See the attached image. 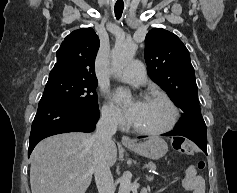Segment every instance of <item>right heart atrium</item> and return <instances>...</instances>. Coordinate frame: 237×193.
I'll list each match as a JSON object with an SVG mask.
<instances>
[{
	"label": "right heart atrium",
	"mask_w": 237,
	"mask_h": 193,
	"mask_svg": "<svg viewBox=\"0 0 237 193\" xmlns=\"http://www.w3.org/2000/svg\"><path fill=\"white\" fill-rule=\"evenodd\" d=\"M101 116L105 123L113 127H120L124 119L120 111L110 102H105L101 108Z\"/></svg>",
	"instance_id": "right-heart-atrium-1"
}]
</instances>
